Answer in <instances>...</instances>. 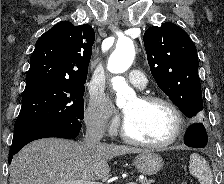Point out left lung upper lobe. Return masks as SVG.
Masks as SVG:
<instances>
[{"mask_svg": "<svg viewBox=\"0 0 224 184\" xmlns=\"http://www.w3.org/2000/svg\"><path fill=\"white\" fill-rule=\"evenodd\" d=\"M151 73L160 89L181 112L198 121L203 110L197 50L189 35L173 23L144 33Z\"/></svg>", "mask_w": 224, "mask_h": 184, "instance_id": "left-lung-upper-lobe-1", "label": "left lung upper lobe"}]
</instances>
